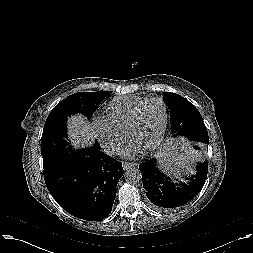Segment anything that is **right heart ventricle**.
<instances>
[{
  "label": "right heart ventricle",
  "instance_id": "e07e8e85",
  "mask_svg": "<svg viewBox=\"0 0 253 253\" xmlns=\"http://www.w3.org/2000/svg\"><path fill=\"white\" fill-rule=\"evenodd\" d=\"M147 99L134 95L112 99L107 107L108 121L116 130L125 133L134 112Z\"/></svg>",
  "mask_w": 253,
  "mask_h": 253
}]
</instances>
